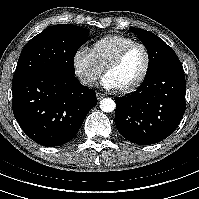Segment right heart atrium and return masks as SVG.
I'll list each match as a JSON object with an SVG mask.
<instances>
[{
  "mask_svg": "<svg viewBox=\"0 0 199 199\" xmlns=\"http://www.w3.org/2000/svg\"><path fill=\"white\" fill-rule=\"evenodd\" d=\"M73 68L80 81L86 86L94 85L102 73L90 52L85 48H79L74 53Z\"/></svg>",
  "mask_w": 199,
  "mask_h": 199,
  "instance_id": "obj_1",
  "label": "right heart atrium"
}]
</instances>
